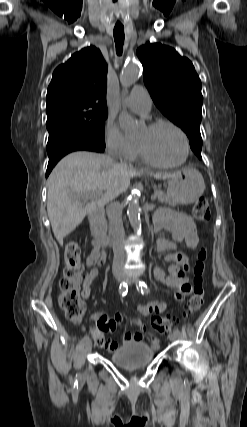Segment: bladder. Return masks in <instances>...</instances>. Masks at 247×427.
<instances>
[{
    "instance_id": "obj_1",
    "label": "bladder",
    "mask_w": 247,
    "mask_h": 427,
    "mask_svg": "<svg viewBox=\"0 0 247 427\" xmlns=\"http://www.w3.org/2000/svg\"><path fill=\"white\" fill-rule=\"evenodd\" d=\"M155 357V350L143 342H130L114 350L110 360L119 367L136 369L149 364Z\"/></svg>"
}]
</instances>
